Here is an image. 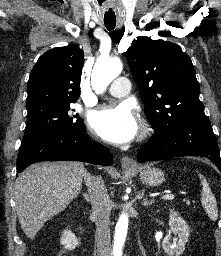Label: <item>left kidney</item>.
<instances>
[{
  "label": "left kidney",
  "mask_w": 221,
  "mask_h": 256,
  "mask_svg": "<svg viewBox=\"0 0 221 256\" xmlns=\"http://www.w3.org/2000/svg\"><path fill=\"white\" fill-rule=\"evenodd\" d=\"M171 234L176 237L173 238V243L170 242ZM189 238V227L185 220L181 218L177 212L171 211L169 215V230L165 236L162 247L168 256H179L185 251V245Z\"/></svg>",
  "instance_id": "obj_1"
}]
</instances>
